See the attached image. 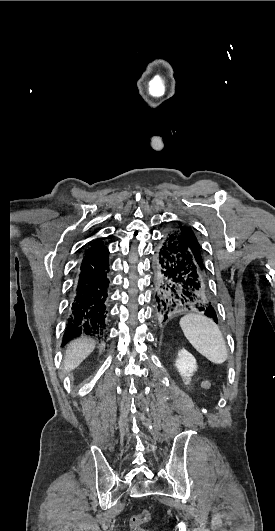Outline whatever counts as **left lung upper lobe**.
Instances as JSON below:
<instances>
[{
	"instance_id": "5c2ea615",
	"label": "left lung upper lobe",
	"mask_w": 275,
	"mask_h": 531,
	"mask_svg": "<svg viewBox=\"0 0 275 531\" xmlns=\"http://www.w3.org/2000/svg\"><path fill=\"white\" fill-rule=\"evenodd\" d=\"M176 228L180 231L181 235L184 237L186 242L188 243L198 265L202 270H204V264L202 261V256L200 252V245L198 243V240L192 231L190 227H187L184 224L179 223Z\"/></svg>"
}]
</instances>
